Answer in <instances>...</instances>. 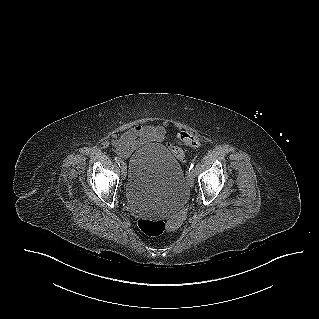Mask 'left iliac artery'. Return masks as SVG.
Masks as SVG:
<instances>
[{
	"label": "left iliac artery",
	"mask_w": 319,
	"mask_h": 319,
	"mask_svg": "<svg viewBox=\"0 0 319 319\" xmlns=\"http://www.w3.org/2000/svg\"><path fill=\"white\" fill-rule=\"evenodd\" d=\"M189 173H194V163L192 162L190 167H189Z\"/></svg>",
	"instance_id": "44dca946"
}]
</instances>
